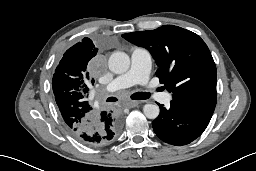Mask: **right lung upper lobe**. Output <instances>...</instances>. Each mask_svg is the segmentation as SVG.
<instances>
[{
	"mask_svg": "<svg viewBox=\"0 0 256 171\" xmlns=\"http://www.w3.org/2000/svg\"><path fill=\"white\" fill-rule=\"evenodd\" d=\"M97 51L98 49L95 48L93 42L85 37L82 42L69 48L61 59L62 63L68 62L73 65L74 73L78 76V84H80L78 88L84 92L82 97L69 95L64 89L59 72L60 68H56L53 75L52 87L57 106L66 126L73 134L90 127L94 122V109L87 101L89 88L86 82L90 79L86 66L88 61L97 54ZM59 66L62 64L59 63ZM91 83H94V79L91 80Z\"/></svg>",
	"mask_w": 256,
	"mask_h": 171,
	"instance_id": "1",
	"label": "right lung upper lobe"
}]
</instances>
